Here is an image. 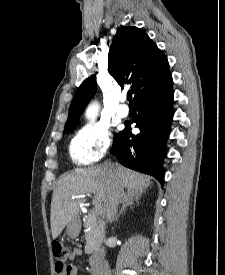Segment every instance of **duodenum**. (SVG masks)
Listing matches in <instances>:
<instances>
[{
    "label": "duodenum",
    "mask_w": 225,
    "mask_h": 275,
    "mask_svg": "<svg viewBox=\"0 0 225 275\" xmlns=\"http://www.w3.org/2000/svg\"><path fill=\"white\" fill-rule=\"evenodd\" d=\"M103 259V253L92 255L90 258L91 270L94 275H97Z\"/></svg>",
    "instance_id": "obj_1"
}]
</instances>
